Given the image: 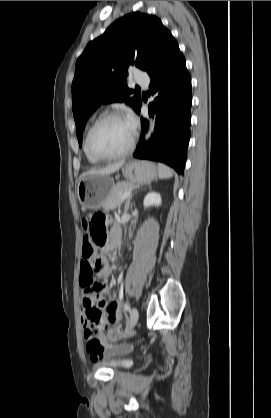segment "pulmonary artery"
Returning a JSON list of instances; mask_svg holds the SVG:
<instances>
[{
    "mask_svg": "<svg viewBox=\"0 0 271 418\" xmlns=\"http://www.w3.org/2000/svg\"><path fill=\"white\" fill-rule=\"evenodd\" d=\"M135 81L143 86H147L149 83V77L146 74H138L135 77Z\"/></svg>",
    "mask_w": 271,
    "mask_h": 418,
    "instance_id": "pulmonary-artery-1",
    "label": "pulmonary artery"
}]
</instances>
